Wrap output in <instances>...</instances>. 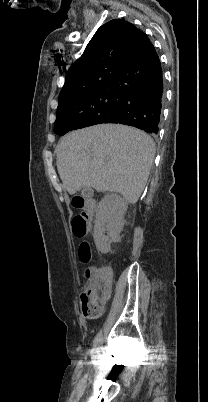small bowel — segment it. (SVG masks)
Segmentation results:
<instances>
[{"mask_svg":"<svg viewBox=\"0 0 208 402\" xmlns=\"http://www.w3.org/2000/svg\"><path fill=\"white\" fill-rule=\"evenodd\" d=\"M96 296H99V297H101V298H105V300H106V299H108L111 295H96ZM90 321H91L92 323H95V322L97 321V318H96L95 316H92V317L90 318Z\"/></svg>","mask_w":208,"mask_h":402,"instance_id":"1","label":"small bowel"}]
</instances>
